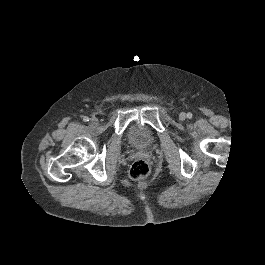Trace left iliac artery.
<instances>
[{
  "mask_svg": "<svg viewBox=\"0 0 265 265\" xmlns=\"http://www.w3.org/2000/svg\"><path fill=\"white\" fill-rule=\"evenodd\" d=\"M193 117L192 113H187V118L191 119Z\"/></svg>",
  "mask_w": 265,
  "mask_h": 265,
  "instance_id": "left-iliac-artery-1",
  "label": "left iliac artery"
}]
</instances>
